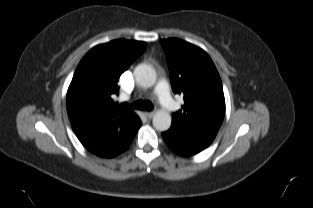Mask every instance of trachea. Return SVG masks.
Masks as SVG:
<instances>
[{"instance_id": "obj_1", "label": "trachea", "mask_w": 313, "mask_h": 208, "mask_svg": "<svg viewBox=\"0 0 313 208\" xmlns=\"http://www.w3.org/2000/svg\"><path fill=\"white\" fill-rule=\"evenodd\" d=\"M132 107L138 110L151 111L153 109V104L150 101H136L132 103Z\"/></svg>"}]
</instances>
